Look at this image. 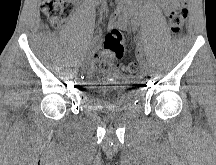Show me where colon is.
<instances>
[{
  "label": "colon",
  "mask_w": 216,
  "mask_h": 165,
  "mask_svg": "<svg viewBox=\"0 0 216 165\" xmlns=\"http://www.w3.org/2000/svg\"><path fill=\"white\" fill-rule=\"evenodd\" d=\"M74 2L75 0H42L43 15L54 28L62 29L73 14ZM187 16V8L180 5L170 12L168 23L173 34L181 32ZM123 55V33L118 28H112L104 38L103 49L94 54L93 61L99 70H106L110 66L120 68ZM126 70L131 75H135L139 71L138 64L131 62L126 66Z\"/></svg>",
  "instance_id": "obj_1"
}]
</instances>
